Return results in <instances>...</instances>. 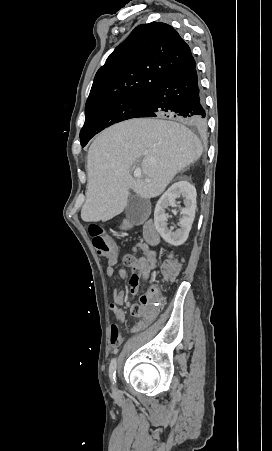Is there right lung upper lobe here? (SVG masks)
Masks as SVG:
<instances>
[{"mask_svg":"<svg viewBox=\"0 0 272 451\" xmlns=\"http://www.w3.org/2000/svg\"><path fill=\"white\" fill-rule=\"evenodd\" d=\"M191 57L189 46L170 25H139L97 71L85 110L117 97L150 95Z\"/></svg>","mask_w":272,"mask_h":451,"instance_id":"1","label":"right lung upper lobe"}]
</instances>
